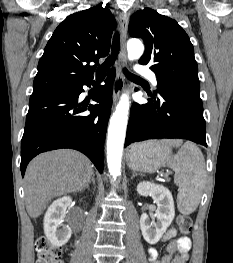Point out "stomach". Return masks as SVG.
<instances>
[{"instance_id": "0dacf381", "label": "stomach", "mask_w": 233, "mask_h": 263, "mask_svg": "<svg viewBox=\"0 0 233 263\" xmlns=\"http://www.w3.org/2000/svg\"><path fill=\"white\" fill-rule=\"evenodd\" d=\"M171 157V148L156 140L133 144L128 151V166L136 171L152 173Z\"/></svg>"}]
</instances>
